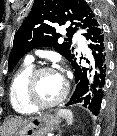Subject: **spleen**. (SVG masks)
Listing matches in <instances>:
<instances>
[{
	"mask_svg": "<svg viewBox=\"0 0 117 136\" xmlns=\"http://www.w3.org/2000/svg\"><path fill=\"white\" fill-rule=\"evenodd\" d=\"M58 115L65 118L68 125H71L73 123V113L71 110L60 109L58 111Z\"/></svg>",
	"mask_w": 117,
	"mask_h": 136,
	"instance_id": "obj_1",
	"label": "spleen"
}]
</instances>
